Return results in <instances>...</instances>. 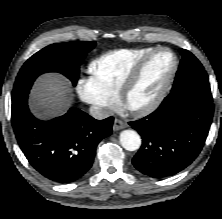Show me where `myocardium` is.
<instances>
[{
    "mask_svg": "<svg viewBox=\"0 0 222 219\" xmlns=\"http://www.w3.org/2000/svg\"><path fill=\"white\" fill-rule=\"evenodd\" d=\"M161 52H168L171 54L173 58V65L171 67V70L167 78L165 79L157 95L150 102H148L145 105L138 106V107L131 106L129 104V97L131 93L133 92V90L138 85V83L140 82L147 63L150 61V59L153 56ZM178 67H179V60L176 53L172 49L168 47H157V48L152 49L151 51H149L148 53H146L144 56H142L139 59V61L136 63V65L131 70L129 75L122 82V85L118 94L119 102L127 111H129L134 116L142 117V116H146L152 113L160 106V104L163 102V100L167 96L173 84V81L175 79L176 73L178 71Z\"/></svg>",
    "mask_w": 222,
    "mask_h": 219,
    "instance_id": "myocardium-1",
    "label": "myocardium"
}]
</instances>
